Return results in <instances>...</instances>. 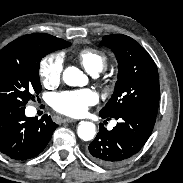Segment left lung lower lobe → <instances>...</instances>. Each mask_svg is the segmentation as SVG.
I'll use <instances>...</instances> for the list:
<instances>
[{"label":"left lung lower lobe","mask_w":183,"mask_h":183,"mask_svg":"<svg viewBox=\"0 0 183 183\" xmlns=\"http://www.w3.org/2000/svg\"><path fill=\"white\" fill-rule=\"evenodd\" d=\"M100 117L118 120L111 131L100 124L99 133L88 147V157L102 166L120 164L140 151L156 121V115L142 111H125L113 117L100 114Z\"/></svg>","instance_id":"obj_1"}]
</instances>
